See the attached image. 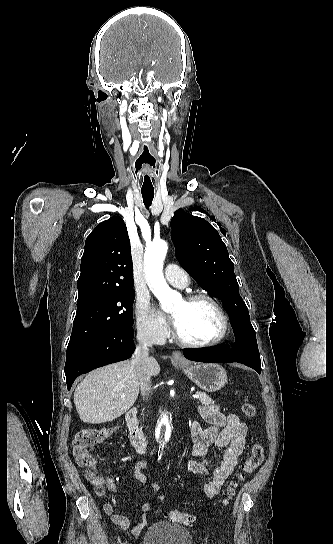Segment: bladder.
Wrapping results in <instances>:
<instances>
[{
    "label": "bladder",
    "instance_id": "31cf9c89",
    "mask_svg": "<svg viewBox=\"0 0 333 544\" xmlns=\"http://www.w3.org/2000/svg\"><path fill=\"white\" fill-rule=\"evenodd\" d=\"M142 544H193V540L187 528L170 522H157L146 529Z\"/></svg>",
    "mask_w": 333,
    "mask_h": 544
}]
</instances>
